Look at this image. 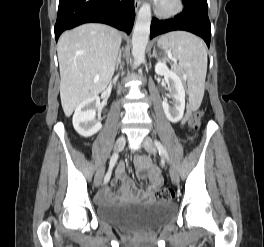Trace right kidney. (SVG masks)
<instances>
[{"label":"right kidney","instance_id":"ca27d5eb","mask_svg":"<svg viewBox=\"0 0 264 247\" xmlns=\"http://www.w3.org/2000/svg\"><path fill=\"white\" fill-rule=\"evenodd\" d=\"M99 104V97L94 96L81 102L75 109L72 122L74 129L81 136L90 137L102 128L101 123L95 119V106Z\"/></svg>","mask_w":264,"mask_h":247}]
</instances>
